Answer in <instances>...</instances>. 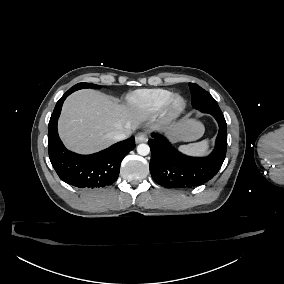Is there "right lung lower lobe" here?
<instances>
[{"label": "right lung lower lobe", "instance_id": "right-lung-lower-lobe-1", "mask_svg": "<svg viewBox=\"0 0 284 284\" xmlns=\"http://www.w3.org/2000/svg\"><path fill=\"white\" fill-rule=\"evenodd\" d=\"M74 91L68 90L57 102L48 125V150L52 166L64 182L92 190L113 184L119 175L123 158L135 147V138L116 143L91 155H79L68 151L61 142L57 121L63 102Z\"/></svg>", "mask_w": 284, "mask_h": 284}]
</instances>
